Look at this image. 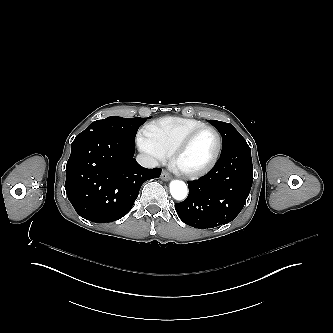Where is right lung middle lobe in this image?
Returning a JSON list of instances; mask_svg holds the SVG:
<instances>
[{"label":"right lung middle lobe","mask_w":333,"mask_h":333,"mask_svg":"<svg viewBox=\"0 0 333 333\" xmlns=\"http://www.w3.org/2000/svg\"><path fill=\"white\" fill-rule=\"evenodd\" d=\"M144 122L145 120L143 118H122L111 116L103 120L94 121L80 134L84 135L103 132L134 143L138 128Z\"/></svg>","instance_id":"right-lung-middle-lobe-1"}]
</instances>
